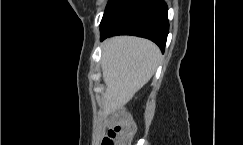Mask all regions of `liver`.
<instances>
[{
	"label": "liver",
	"mask_w": 243,
	"mask_h": 145,
	"mask_svg": "<svg viewBox=\"0 0 243 145\" xmlns=\"http://www.w3.org/2000/svg\"><path fill=\"white\" fill-rule=\"evenodd\" d=\"M161 53L147 39L119 36L102 44V73L106 84L104 111L114 112L129 102L154 74Z\"/></svg>",
	"instance_id": "6515ba94"
}]
</instances>
